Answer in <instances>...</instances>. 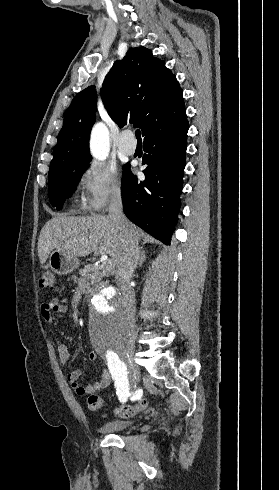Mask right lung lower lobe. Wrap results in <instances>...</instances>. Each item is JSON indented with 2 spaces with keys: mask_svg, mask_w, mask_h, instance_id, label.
Here are the masks:
<instances>
[{
  "mask_svg": "<svg viewBox=\"0 0 279 490\" xmlns=\"http://www.w3.org/2000/svg\"><path fill=\"white\" fill-rule=\"evenodd\" d=\"M188 120L175 128L144 139V181L129 168L122 180L125 215L160 241L169 244L177 222L186 164Z\"/></svg>",
  "mask_w": 279,
  "mask_h": 490,
  "instance_id": "98d812e1",
  "label": "right lung lower lobe"
}]
</instances>
